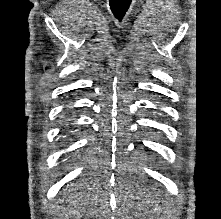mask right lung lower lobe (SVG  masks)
Here are the masks:
<instances>
[{
    "instance_id": "1",
    "label": "right lung lower lobe",
    "mask_w": 221,
    "mask_h": 219,
    "mask_svg": "<svg viewBox=\"0 0 221 219\" xmlns=\"http://www.w3.org/2000/svg\"><path fill=\"white\" fill-rule=\"evenodd\" d=\"M63 135H69V128H67L63 131Z\"/></svg>"
}]
</instances>
